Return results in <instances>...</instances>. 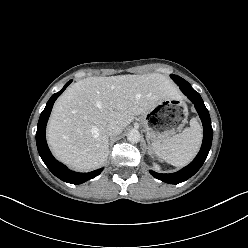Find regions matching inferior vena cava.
Returning a JSON list of instances; mask_svg holds the SVG:
<instances>
[{
	"label": "inferior vena cava",
	"mask_w": 248,
	"mask_h": 248,
	"mask_svg": "<svg viewBox=\"0 0 248 248\" xmlns=\"http://www.w3.org/2000/svg\"><path fill=\"white\" fill-rule=\"evenodd\" d=\"M108 136H116L122 132V127L116 123H110L105 129Z\"/></svg>",
	"instance_id": "602c4592"
}]
</instances>
